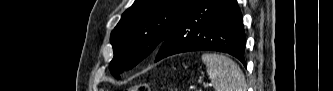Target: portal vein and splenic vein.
Instances as JSON below:
<instances>
[{"mask_svg":"<svg viewBox=\"0 0 333 91\" xmlns=\"http://www.w3.org/2000/svg\"><path fill=\"white\" fill-rule=\"evenodd\" d=\"M205 86H208L209 84H204Z\"/></svg>","mask_w":333,"mask_h":91,"instance_id":"18ae733b","label":"portal vein and splenic vein"}]
</instances>
